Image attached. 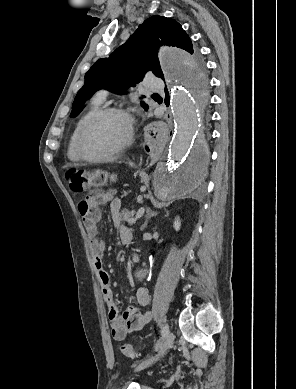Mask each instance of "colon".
Listing matches in <instances>:
<instances>
[{"label": "colon", "mask_w": 296, "mask_h": 389, "mask_svg": "<svg viewBox=\"0 0 296 389\" xmlns=\"http://www.w3.org/2000/svg\"><path fill=\"white\" fill-rule=\"evenodd\" d=\"M65 179L71 190L75 192H84L91 187L103 186L114 181V176L104 170H85L80 168H71L65 172ZM123 355L129 358L137 357V352L131 344L121 346Z\"/></svg>", "instance_id": "1"}]
</instances>
